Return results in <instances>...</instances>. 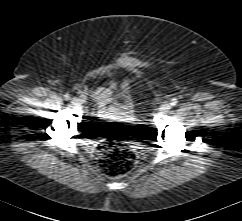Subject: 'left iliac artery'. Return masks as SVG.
<instances>
[{"mask_svg":"<svg viewBox=\"0 0 242 221\" xmlns=\"http://www.w3.org/2000/svg\"><path fill=\"white\" fill-rule=\"evenodd\" d=\"M178 103V101H177V99L176 98H173L172 100H171V105L172 106H175L176 104Z\"/></svg>","mask_w":242,"mask_h":221,"instance_id":"obj_1","label":"left iliac artery"}]
</instances>
